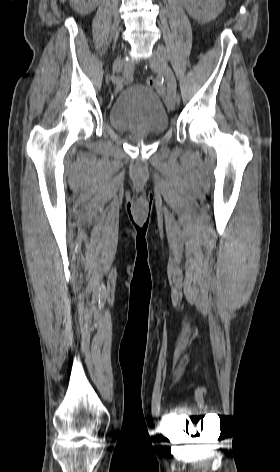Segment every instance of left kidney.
Returning a JSON list of instances; mask_svg holds the SVG:
<instances>
[{
	"label": "left kidney",
	"mask_w": 280,
	"mask_h": 472,
	"mask_svg": "<svg viewBox=\"0 0 280 472\" xmlns=\"http://www.w3.org/2000/svg\"><path fill=\"white\" fill-rule=\"evenodd\" d=\"M187 13L196 21L214 20L223 10L225 0H181Z\"/></svg>",
	"instance_id": "left-kidney-1"
}]
</instances>
